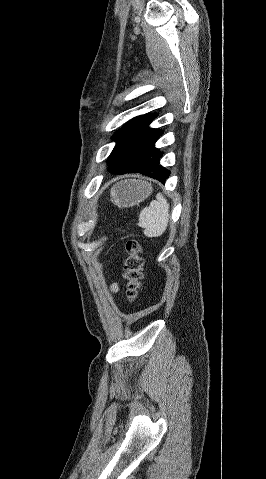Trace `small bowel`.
Masks as SVG:
<instances>
[{"label":"small bowel","mask_w":266,"mask_h":479,"mask_svg":"<svg viewBox=\"0 0 266 479\" xmlns=\"http://www.w3.org/2000/svg\"><path fill=\"white\" fill-rule=\"evenodd\" d=\"M110 290H111V292H113V293L118 292V285H117L116 283L111 284Z\"/></svg>","instance_id":"c3829d8e"}]
</instances>
